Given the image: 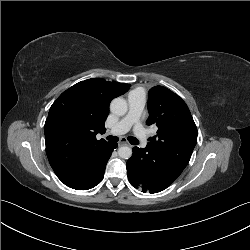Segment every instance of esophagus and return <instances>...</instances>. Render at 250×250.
Masks as SVG:
<instances>
[{
	"instance_id": "1",
	"label": "esophagus",
	"mask_w": 250,
	"mask_h": 250,
	"mask_svg": "<svg viewBox=\"0 0 250 250\" xmlns=\"http://www.w3.org/2000/svg\"><path fill=\"white\" fill-rule=\"evenodd\" d=\"M119 146L122 145H129L128 141L125 138H121L120 141L118 142Z\"/></svg>"
}]
</instances>
